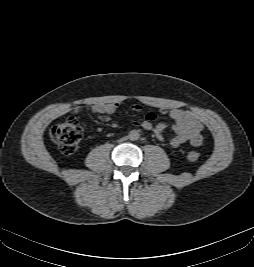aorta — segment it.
I'll list each match as a JSON object with an SVG mask.
<instances>
[{
  "instance_id": "762f6f07",
  "label": "aorta",
  "mask_w": 254,
  "mask_h": 267,
  "mask_svg": "<svg viewBox=\"0 0 254 267\" xmlns=\"http://www.w3.org/2000/svg\"><path fill=\"white\" fill-rule=\"evenodd\" d=\"M140 137V134L137 130H132L129 132L128 138L132 141L138 140Z\"/></svg>"
}]
</instances>
